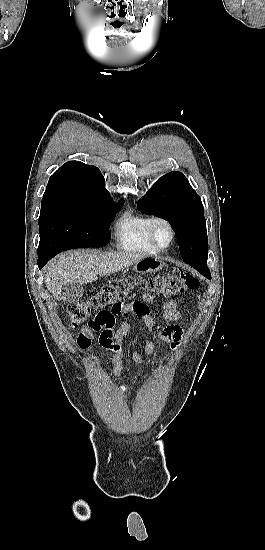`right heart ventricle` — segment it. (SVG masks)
<instances>
[{"label":"right heart ventricle","mask_w":265,"mask_h":550,"mask_svg":"<svg viewBox=\"0 0 265 550\" xmlns=\"http://www.w3.org/2000/svg\"><path fill=\"white\" fill-rule=\"evenodd\" d=\"M152 217L128 212L116 223L117 245L126 251L155 254L158 250L148 237V225Z\"/></svg>","instance_id":"right-heart-ventricle-1"}]
</instances>
